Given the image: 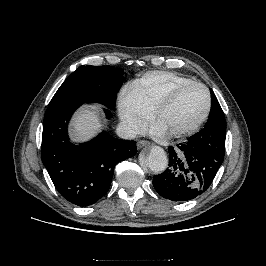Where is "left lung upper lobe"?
Listing matches in <instances>:
<instances>
[{
  "label": "left lung upper lobe",
  "mask_w": 266,
  "mask_h": 266,
  "mask_svg": "<svg viewBox=\"0 0 266 266\" xmlns=\"http://www.w3.org/2000/svg\"><path fill=\"white\" fill-rule=\"evenodd\" d=\"M212 107L204 129L189 137L188 142L210 155L224 157L226 121L223 110L212 89Z\"/></svg>",
  "instance_id": "1"
}]
</instances>
